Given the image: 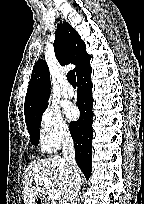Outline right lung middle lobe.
Wrapping results in <instances>:
<instances>
[{
	"instance_id": "right-lung-middle-lobe-1",
	"label": "right lung middle lobe",
	"mask_w": 144,
	"mask_h": 204,
	"mask_svg": "<svg viewBox=\"0 0 144 204\" xmlns=\"http://www.w3.org/2000/svg\"><path fill=\"white\" fill-rule=\"evenodd\" d=\"M47 108V105L39 109L36 113H34L31 117L25 119L27 130L30 134V141L32 144L37 145L39 143L40 138V132H39V126H40V120L43 112Z\"/></svg>"
}]
</instances>
